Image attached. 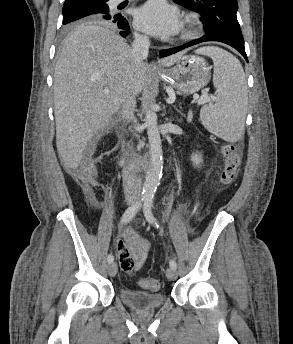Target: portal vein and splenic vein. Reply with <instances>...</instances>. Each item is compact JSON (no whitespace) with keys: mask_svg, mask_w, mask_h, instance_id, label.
I'll use <instances>...</instances> for the list:
<instances>
[{"mask_svg":"<svg viewBox=\"0 0 293 344\" xmlns=\"http://www.w3.org/2000/svg\"><path fill=\"white\" fill-rule=\"evenodd\" d=\"M104 93L105 94H108L109 93V90L108 89H105L104 90ZM174 99V94L170 97L169 100H173ZM194 99L198 100V104H203L207 101H210L212 99V97H209L208 95H202V96H198V95H195L194 96Z\"/></svg>","mask_w":293,"mask_h":344,"instance_id":"18ae733b","label":"portal vein and splenic vein"}]
</instances>
